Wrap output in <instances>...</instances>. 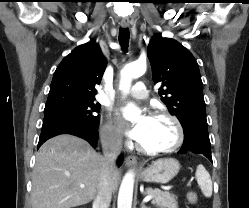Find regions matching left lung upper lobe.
<instances>
[{
	"instance_id": "obj_1",
	"label": "left lung upper lobe",
	"mask_w": 249,
	"mask_h": 208,
	"mask_svg": "<svg viewBox=\"0 0 249 208\" xmlns=\"http://www.w3.org/2000/svg\"><path fill=\"white\" fill-rule=\"evenodd\" d=\"M152 79L162 82L161 100L180 121L184 132L193 126L207 128L203 83L198 64L182 44L154 35L147 48Z\"/></svg>"
}]
</instances>
